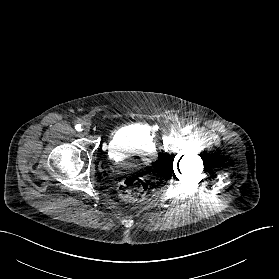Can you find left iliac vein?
Wrapping results in <instances>:
<instances>
[{"instance_id":"4c4485c4","label":"left iliac vein","mask_w":279,"mask_h":279,"mask_svg":"<svg viewBox=\"0 0 279 279\" xmlns=\"http://www.w3.org/2000/svg\"><path fill=\"white\" fill-rule=\"evenodd\" d=\"M184 135L183 129L178 127L175 129V136L176 137H182Z\"/></svg>"}]
</instances>
